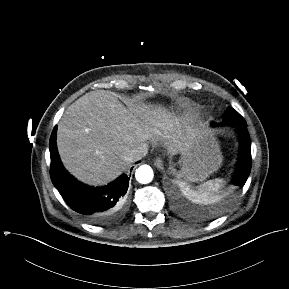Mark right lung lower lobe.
<instances>
[{"label": "right lung lower lobe", "instance_id": "obj_1", "mask_svg": "<svg viewBox=\"0 0 289 289\" xmlns=\"http://www.w3.org/2000/svg\"><path fill=\"white\" fill-rule=\"evenodd\" d=\"M54 128L50 142V177L68 206L85 221L105 224L116 220L124 210L129 178L122 174L117 180L103 187H90L72 177L63 167L57 147Z\"/></svg>", "mask_w": 289, "mask_h": 289}]
</instances>
